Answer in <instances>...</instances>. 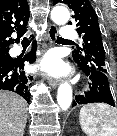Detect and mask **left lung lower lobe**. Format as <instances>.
I'll use <instances>...</instances> for the list:
<instances>
[{
	"mask_svg": "<svg viewBox=\"0 0 117 136\" xmlns=\"http://www.w3.org/2000/svg\"><path fill=\"white\" fill-rule=\"evenodd\" d=\"M74 61L81 67L86 76H89L90 83L89 91L85 92L84 95L76 96L73 106L96 102L115 106L108 75L98 70L94 65H85L76 58Z\"/></svg>",
	"mask_w": 117,
	"mask_h": 136,
	"instance_id": "obj_1",
	"label": "left lung lower lobe"
}]
</instances>
